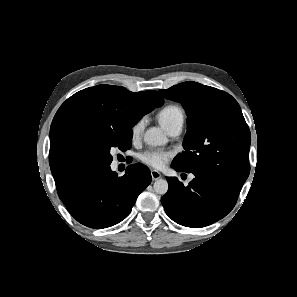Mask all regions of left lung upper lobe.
Here are the masks:
<instances>
[{
  "instance_id": "left-lung-upper-lobe-1",
  "label": "left lung upper lobe",
  "mask_w": 297,
  "mask_h": 297,
  "mask_svg": "<svg viewBox=\"0 0 297 297\" xmlns=\"http://www.w3.org/2000/svg\"><path fill=\"white\" fill-rule=\"evenodd\" d=\"M159 92L187 114L184 151L172 164L217 179L237 191L250 173V130L237 101L219 89L188 81Z\"/></svg>"
}]
</instances>
